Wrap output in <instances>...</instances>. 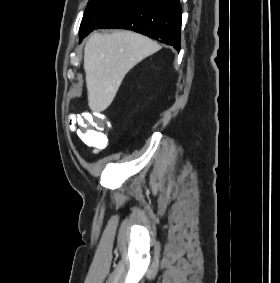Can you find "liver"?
<instances>
[{
    "label": "liver",
    "mask_w": 280,
    "mask_h": 283,
    "mask_svg": "<svg viewBox=\"0 0 280 283\" xmlns=\"http://www.w3.org/2000/svg\"><path fill=\"white\" fill-rule=\"evenodd\" d=\"M159 45L131 31L94 33L84 49L88 105L92 112L104 111L112 103L126 73Z\"/></svg>",
    "instance_id": "liver-1"
}]
</instances>
